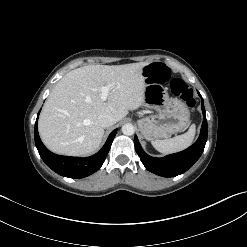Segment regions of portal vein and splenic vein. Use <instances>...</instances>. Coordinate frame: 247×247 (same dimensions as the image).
Instances as JSON below:
<instances>
[{
    "instance_id": "18ae733b",
    "label": "portal vein and splenic vein",
    "mask_w": 247,
    "mask_h": 247,
    "mask_svg": "<svg viewBox=\"0 0 247 247\" xmlns=\"http://www.w3.org/2000/svg\"><path fill=\"white\" fill-rule=\"evenodd\" d=\"M112 85H105V86H102L100 88V91H101V100L102 101H106L107 98H108V92H109V89Z\"/></svg>"
}]
</instances>
